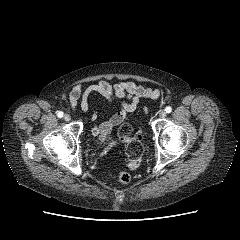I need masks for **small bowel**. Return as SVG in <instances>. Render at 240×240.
Masks as SVG:
<instances>
[{
    "instance_id": "1",
    "label": "small bowel",
    "mask_w": 240,
    "mask_h": 240,
    "mask_svg": "<svg viewBox=\"0 0 240 240\" xmlns=\"http://www.w3.org/2000/svg\"><path fill=\"white\" fill-rule=\"evenodd\" d=\"M101 95L107 102L119 101L121 110L110 118L104 120L99 125H94L91 134L93 137L104 139L113 127L121 124L127 112L136 109L140 98H158L159 91L139 86L132 81H119L115 84L106 80H99L86 88L76 85L69 93V102L72 108L79 112H87L89 110V98L92 94ZM97 117L93 114V119Z\"/></svg>"
}]
</instances>
